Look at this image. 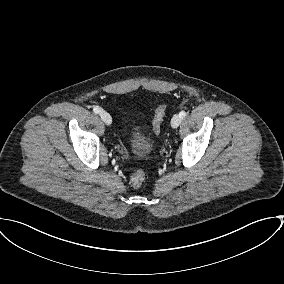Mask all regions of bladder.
Here are the masks:
<instances>
[{
	"label": "bladder",
	"instance_id": "31cf9c89",
	"mask_svg": "<svg viewBox=\"0 0 284 284\" xmlns=\"http://www.w3.org/2000/svg\"><path fill=\"white\" fill-rule=\"evenodd\" d=\"M127 140L133 153L137 156L145 157L152 151V140L136 125H132L129 128Z\"/></svg>",
	"mask_w": 284,
	"mask_h": 284
}]
</instances>
